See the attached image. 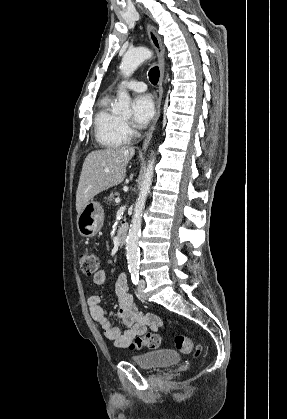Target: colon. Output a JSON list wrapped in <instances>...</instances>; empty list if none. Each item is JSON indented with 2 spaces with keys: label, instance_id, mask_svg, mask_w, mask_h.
Masks as SVG:
<instances>
[{
  "label": "colon",
  "instance_id": "1",
  "mask_svg": "<svg viewBox=\"0 0 287 419\" xmlns=\"http://www.w3.org/2000/svg\"><path fill=\"white\" fill-rule=\"evenodd\" d=\"M79 264L81 271L85 276L95 275L101 266L99 257L89 250H83L79 253ZM176 348L182 353H190L193 351L194 346L190 337L185 335H177L174 339ZM161 344V338L157 334L147 333L142 336L135 337L129 344V349L140 350L143 347L149 349H157ZM201 352V347L195 348V354Z\"/></svg>",
  "mask_w": 287,
  "mask_h": 419
}]
</instances>
